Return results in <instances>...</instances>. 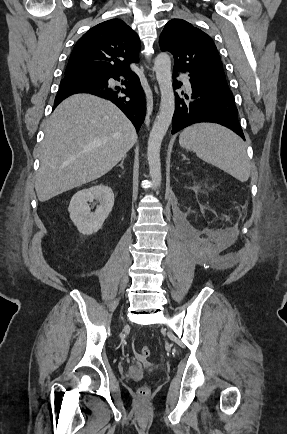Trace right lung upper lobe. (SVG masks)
Masks as SVG:
<instances>
[{
	"mask_svg": "<svg viewBox=\"0 0 287 434\" xmlns=\"http://www.w3.org/2000/svg\"><path fill=\"white\" fill-rule=\"evenodd\" d=\"M140 40L122 20L111 19L87 31L76 43L70 55L62 81H78L70 77L83 74L130 70L138 62Z\"/></svg>",
	"mask_w": 287,
	"mask_h": 434,
	"instance_id": "right-lung-upper-lobe-1",
	"label": "right lung upper lobe"
}]
</instances>
